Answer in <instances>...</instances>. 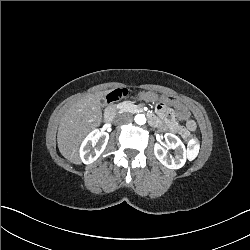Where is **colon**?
Here are the masks:
<instances>
[{"instance_id":"1","label":"colon","mask_w":250,"mask_h":250,"mask_svg":"<svg viewBox=\"0 0 250 250\" xmlns=\"http://www.w3.org/2000/svg\"><path fill=\"white\" fill-rule=\"evenodd\" d=\"M128 95V90L126 88H118L113 91H111L107 97L106 100L108 103H114L118 100H121L125 98ZM190 130H194V126L192 124L189 125ZM192 137L187 135L184 137L183 141L185 144H190L192 142Z\"/></svg>"}]
</instances>
